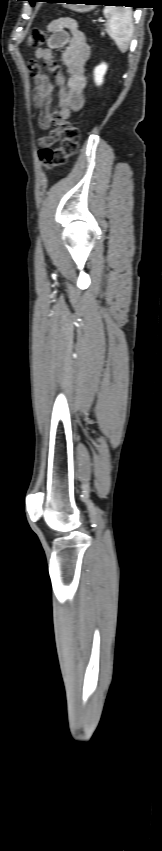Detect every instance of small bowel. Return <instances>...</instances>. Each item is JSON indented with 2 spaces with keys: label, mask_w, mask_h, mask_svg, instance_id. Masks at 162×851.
Wrapping results in <instances>:
<instances>
[{
  "label": "small bowel",
  "mask_w": 162,
  "mask_h": 851,
  "mask_svg": "<svg viewBox=\"0 0 162 851\" xmlns=\"http://www.w3.org/2000/svg\"><path fill=\"white\" fill-rule=\"evenodd\" d=\"M49 30L51 34L47 46L35 51V58L45 62L47 73L42 72L40 66L34 61H31L28 67L35 81L33 103L40 110L38 123L42 129H48L52 123L58 127L65 123L73 112L82 109L83 89L86 86L84 71L90 57V47L86 37L73 18L63 17L54 20L49 24ZM59 48H64L61 61L67 69L68 79L59 71L53 58V50ZM51 79L58 86L55 110H52L54 86ZM56 129L49 135L41 137L39 144L47 147L57 142L60 135Z\"/></svg>",
  "instance_id": "obj_1"
}]
</instances>
